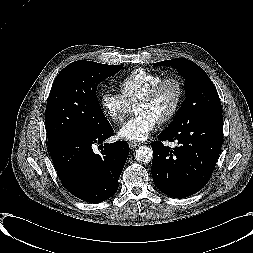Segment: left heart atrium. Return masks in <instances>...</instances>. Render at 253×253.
<instances>
[{
	"instance_id": "1",
	"label": "left heart atrium",
	"mask_w": 253,
	"mask_h": 253,
	"mask_svg": "<svg viewBox=\"0 0 253 253\" xmlns=\"http://www.w3.org/2000/svg\"><path fill=\"white\" fill-rule=\"evenodd\" d=\"M158 121L148 114H139L128 120L118 131L121 139L143 141L156 128Z\"/></svg>"
}]
</instances>
